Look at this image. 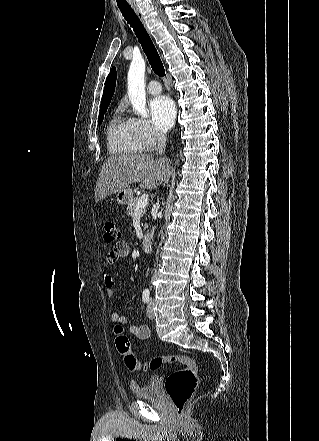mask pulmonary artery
Returning a JSON list of instances; mask_svg holds the SVG:
<instances>
[{
    "label": "pulmonary artery",
    "instance_id": "pulmonary-artery-1",
    "mask_svg": "<svg viewBox=\"0 0 319 441\" xmlns=\"http://www.w3.org/2000/svg\"><path fill=\"white\" fill-rule=\"evenodd\" d=\"M147 90L152 95L159 94L161 92V85L158 81L153 80L148 84Z\"/></svg>",
    "mask_w": 319,
    "mask_h": 441
}]
</instances>
